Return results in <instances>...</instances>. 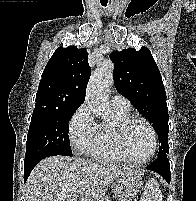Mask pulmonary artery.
<instances>
[{
    "instance_id": "e3ab8cb5",
    "label": "pulmonary artery",
    "mask_w": 196,
    "mask_h": 201,
    "mask_svg": "<svg viewBox=\"0 0 196 201\" xmlns=\"http://www.w3.org/2000/svg\"><path fill=\"white\" fill-rule=\"evenodd\" d=\"M113 108L121 110H130L131 105L127 98L121 95H114L111 100Z\"/></svg>"
}]
</instances>
